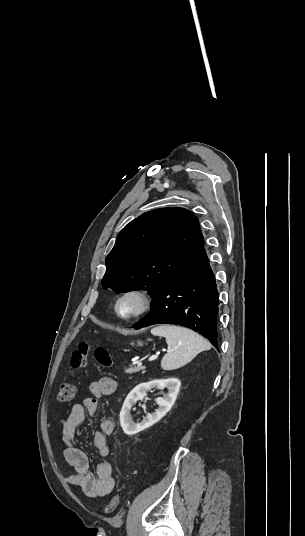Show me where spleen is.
Returning a JSON list of instances; mask_svg holds the SVG:
<instances>
[{
    "mask_svg": "<svg viewBox=\"0 0 305 536\" xmlns=\"http://www.w3.org/2000/svg\"><path fill=\"white\" fill-rule=\"evenodd\" d=\"M151 334L166 338L167 346L173 348L172 352H168L162 358L161 368L167 372L186 366L197 354L211 348V344L202 336L192 332V330H187V328H180V326L158 324L156 328H152Z\"/></svg>",
    "mask_w": 305,
    "mask_h": 536,
    "instance_id": "spleen-1",
    "label": "spleen"
}]
</instances>
